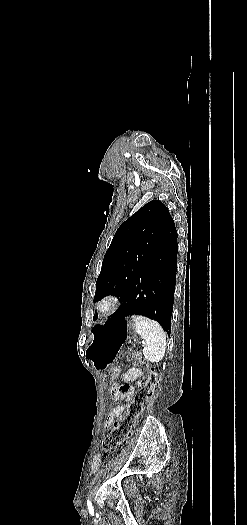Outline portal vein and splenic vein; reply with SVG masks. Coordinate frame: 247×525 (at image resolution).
<instances>
[{"label":"portal vein and splenic vein","mask_w":247,"mask_h":525,"mask_svg":"<svg viewBox=\"0 0 247 525\" xmlns=\"http://www.w3.org/2000/svg\"><path fill=\"white\" fill-rule=\"evenodd\" d=\"M140 343H142V346H145V340H140Z\"/></svg>","instance_id":"1"}]
</instances>
